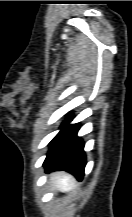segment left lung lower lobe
<instances>
[{
    "label": "left lung lower lobe",
    "mask_w": 132,
    "mask_h": 217,
    "mask_svg": "<svg viewBox=\"0 0 132 217\" xmlns=\"http://www.w3.org/2000/svg\"><path fill=\"white\" fill-rule=\"evenodd\" d=\"M72 119L69 117L62 123L61 131L49 143L50 149L43 165L47 172L65 170L81 180L86 164L84 143L77 137L79 124L69 125Z\"/></svg>",
    "instance_id": "left-lung-lower-lobe-1"
}]
</instances>
